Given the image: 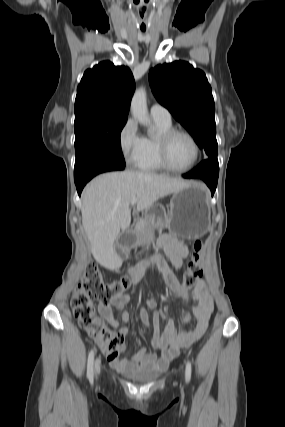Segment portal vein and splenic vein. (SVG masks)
<instances>
[{
	"label": "portal vein and splenic vein",
	"instance_id": "obj_1",
	"mask_svg": "<svg viewBox=\"0 0 285 427\" xmlns=\"http://www.w3.org/2000/svg\"><path fill=\"white\" fill-rule=\"evenodd\" d=\"M137 200H138V198H137V197H134V198L131 200L130 205H131V206H133L134 204H136Z\"/></svg>",
	"mask_w": 285,
	"mask_h": 427
}]
</instances>
